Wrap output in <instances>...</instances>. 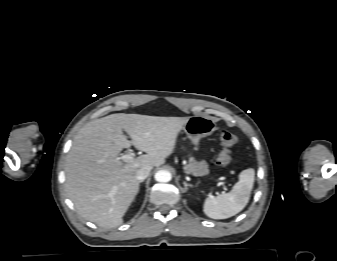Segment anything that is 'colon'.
<instances>
[{
	"label": "colon",
	"mask_w": 337,
	"mask_h": 261,
	"mask_svg": "<svg viewBox=\"0 0 337 261\" xmlns=\"http://www.w3.org/2000/svg\"><path fill=\"white\" fill-rule=\"evenodd\" d=\"M219 141L221 150L217 156L216 163L221 168H226L230 165L232 159V148L237 142L236 136L227 131L222 130L219 133Z\"/></svg>",
	"instance_id": "1"
}]
</instances>
